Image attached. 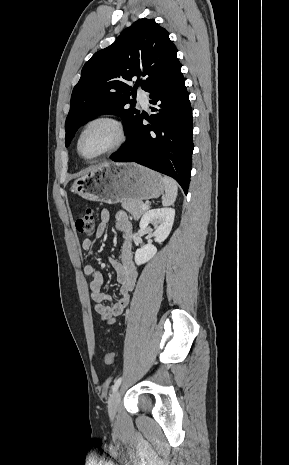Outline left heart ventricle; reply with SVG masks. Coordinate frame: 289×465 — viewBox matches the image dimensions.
<instances>
[{"instance_id":"left-heart-ventricle-1","label":"left heart ventricle","mask_w":289,"mask_h":465,"mask_svg":"<svg viewBox=\"0 0 289 465\" xmlns=\"http://www.w3.org/2000/svg\"><path fill=\"white\" fill-rule=\"evenodd\" d=\"M117 139L115 129L106 123H96L89 127L80 142V151L84 156H94L109 147Z\"/></svg>"}]
</instances>
